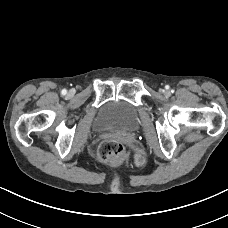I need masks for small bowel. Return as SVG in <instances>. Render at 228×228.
<instances>
[{
  "mask_svg": "<svg viewBox=\"0 0 228 228\" xmlns=\"http://www.w3.org/2000/svg\"><path fill=\"white\" fill-rule=\"evenodd\" d=\"M136 162H137V164H141V163H142L141 158H137V159H136Z\"/></svg>",
  "mask_w": 228,
  "mask_h": 228,
  "instance_id": "c3829d8e",
  "label": "small bowel"
}]
</instances>
